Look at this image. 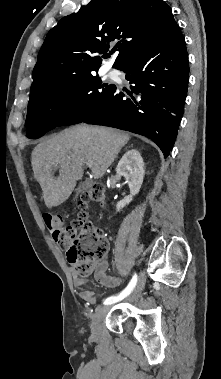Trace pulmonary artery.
I'll list each match as a JSON object with an SVG mask.
<instances>
[{
  "instance_id": "pulmonary-artery-1",
  "label": "pulmonary artery",
  "mask_w": 221,
  "mask_h": 379,
  "mask_svg": "<svg viewBox=\"0 0 221 379\" xmlns=\"http://www.w3.org/2000/svg\"><path fill=\"white\" fill-rule=\"evenodd\" d=\"M108 74H109V75H112V74H113V72H112V71H110Z\"/></svg>"
}]
</instances>
